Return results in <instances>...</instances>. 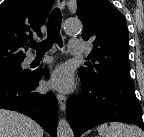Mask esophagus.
Wrapping results in <instances>:
<instances>
[{"mask_svg":"<svg viewBox=\"0 0 144 137\" xmlns=\"http://www.w3.org/2000/svg\"><path fill=\"white\" fill-rule=\"evenodd\" d=\"M57 3H58V6H59L60 9L65 8V0H57ZM57 99H58L61 111L64 112L65 109H66V101H67L66 96L63 95V94L58 93L57 94Z\"/></svg>","mask_w":144,"mask_h":137,"instance_id":"1","label":"esophagus"}]
</instances>
